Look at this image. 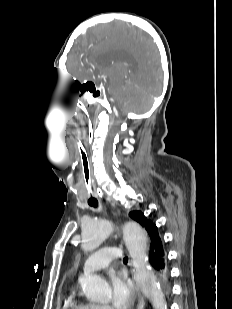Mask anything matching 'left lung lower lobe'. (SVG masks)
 Instances as JSON below:
<instances>
[{"instance_id":"obj_1","label":"left lung lower lobe","mask_w":232,"mask_h":309,"mask_svg":"<svg viewBox=\"0 0 232 309\" xmlns=\"http://www.w3.org/2000/svg\"><path fill=\"white\" fill-rule=\"evenodd\" d=\"M148 235L150 238L148 247L149 263L160 280L166 283L169 277L167 252L155 224H153L150 231H148Z\"/></svg>"}]
</instances>
